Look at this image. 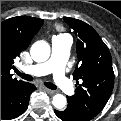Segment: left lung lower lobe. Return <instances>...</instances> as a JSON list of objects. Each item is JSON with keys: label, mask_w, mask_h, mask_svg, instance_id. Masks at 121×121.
<instances>
[{"label": "left lung lower lobe", "mask_w": 121, "mask_h": 121, "mask_svg": "<svg viewBox=\"0 0 121 121\" xmlns=\"http://www.w3.org/2000/svg\"><path fill=\"white\" fill-rule=\"evenodd\" d=\"M55 114L62 121H89L93 118L89 115L80 112L71 105H68L64 111L55 110Z\"/></svg>", "instance_id": "obj_1"}]
</instances>
